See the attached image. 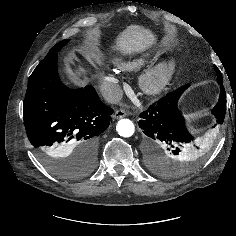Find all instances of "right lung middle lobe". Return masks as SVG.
Instances as JSON below:
<instances>
[{
	"label": "right lung middle lobe",
	"instance_id": "right-lung-middle-lobe-1",
	"mask_svg": "<svg viewBox=\"0 0 236 236\" xmlns=\"http://www.w3.org/2000/svg\"><path fill=\"white\" fill-rule=\"evenodd\" d=\"M68 40H63L57 43L47 54L44 59L51 58L57 54V51L60 50ZM40 158L44 166L51 171L53 174L62 177V178H78L89 173L93 168L94 164L87 162H74L71 160L65 161L62 159H56L49 155L40 154Z\"/></svg>",
	"mask_w": 236,
	"mask_h": 236
}]
</instances>
